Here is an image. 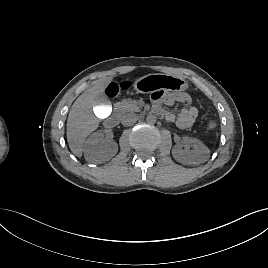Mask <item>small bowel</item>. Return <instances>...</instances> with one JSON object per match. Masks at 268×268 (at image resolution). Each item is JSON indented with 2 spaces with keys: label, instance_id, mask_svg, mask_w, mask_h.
Here are the masks:
<instances>
[{
  "label": "small bowel",
  "instance_id": "c3829d8e",
  "mask_svg": "<svg viewBox=\"0 0 268 268\" xmlns=\"http://www.w3.org/2000/svg\"><path fill=\"white\" fill-rule=\"evenodd\" d=\"M152 98L154 111L157 114L163 115L168 122L175 123L180 129L190 128L198 116V110L195 106H193L192 97L187 92L179 94H163L162 91H155ZM176 102H180L185 105L178 115L163 108V105L172 106Z\"/></svg>",
  "mask_w": 268,
  "mask_h": 268
}]
</instances>
